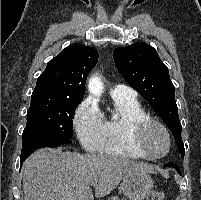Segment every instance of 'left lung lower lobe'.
<instances>
[{
  "instance_id": "0a47b994",
  "label": "left lung lower lobe",
  "mask_w": 201,
  "mask_h": 200,
  "mask_svg": "<svg viewBox=\"0 0 201 200\" xmlns=\"http://www.w3.org/2000/svg\"><path fill=\"white\" fill-rule=\"evenodd\" d=\"M164 166L174 167L177 170V172L181 175L180 168L175 163L170 162V163L165 164Z\"/></svg>"
}]
</instances>
